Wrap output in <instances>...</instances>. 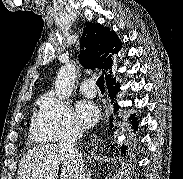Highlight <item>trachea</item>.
I'll list each match as a JSON object with an SVG mask.
<instances>
[{
	"mask_svg": "<svg viewBox=\"0 0 183 179\" xmlns=\"http://www.w3.org/2000/svg\"><path fill=\"white\" fill-rule=\"evenodd\" d=\"M98 88L101 90V91H104L105 90V86H104V75H100V77L97 79V82H96Z\"/></svg>",
	"mask_w": 183,
	"mask_h": 179,
	"instance_id": "obj_1",
	"label": "trachea"
}]
</instances>
